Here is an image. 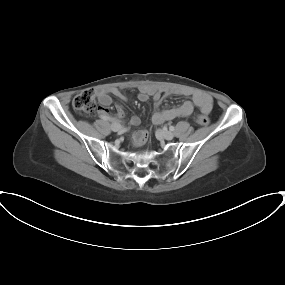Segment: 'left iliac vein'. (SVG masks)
Instances as JSON below:
<instances>
[{
  "mask_svg": "<svg viewBox=\"0 0 285 285\" xmlns=\"http://www.w3.org/2000/svg\"><path fill=\"white\" fill-rule=\"evenodd\" d=\"M160 135L166 140H172L174 138V134L168 130H159Z\"/></svg>",
  "mask_w": 285,
  "mask_h": 285,
  "instance_id": "left-iliac-vein-1",
  "label": "left iliac vein"
}]
</instances>
